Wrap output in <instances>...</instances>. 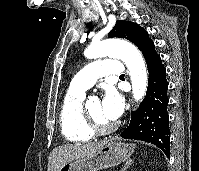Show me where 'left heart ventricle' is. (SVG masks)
Instances as JSON below:
<instances>
[{"label":"left heart ventricle","mask_w":199,"mask_h":171,"mask_svg":"<svg viewBox=\"0 0 199 171\" xmlns=\"http://www.w3.org/2000/svg\"><path fill=\"white\" fill-rule=\"evenodd\" d=\"M90 113L102 124H112V122L106 120L101 114V104L99 101L91 102L87 106Z\"/></svg>","instance_id":"1"}]
</instances>
